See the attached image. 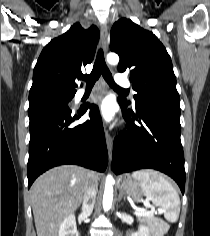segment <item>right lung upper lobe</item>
I'll use <instances>...</instances> for the list:
<instances>
[{
	"label": "right lung upper lobe",
	"instance_id": "cb5924a9",
	"mask_svg": "<svg viewBox=\"0 0 210 236\" xmlns=\"http://www.w3.org/2000/svg\"><path fill=\"white\" fill-rule=\"evenodd\" d=\"M98 39L96 26L83 29L75 23L66 33L51 40L35 65L29 100L44 90L76 93V76L92 62Z\"/></svg>",
	"mask_w": 210,
	"mask_h": 236
}]
</instances>
